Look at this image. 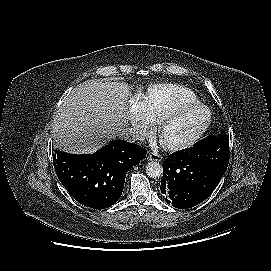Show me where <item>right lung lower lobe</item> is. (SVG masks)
<instances>
[{
	"instance_id": "obj_1",
	"label": "right lung lower lobe",
	"mask_w": 271,
	"mask_h": 271,
	"mask_svg": "<svg viewBox=\"0 0 271 271\" xmlns=\"http://www.w3.org/2000/svg\"><path fill=\"white\" fill-rule=\"evenodd\" d=\"M139 145L114 141L94 154L54 151L56 174L73 198L90 208L104 209L120 198L126 173L145 158Z\"/></svg>"
}]
</instances>
